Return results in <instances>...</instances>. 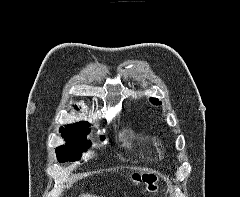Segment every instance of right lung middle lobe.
I'll return each mask as SVG.
<instances>
[{
  "instance_id": "obj_1",
  "label": "right lung middle lobe",
  "mask_w": 240,
  "mask_h": 197,
  "mask_svg": "<svg viewBox=\"0 0 240 197\" xmlns=\"http://www.w3.org/2000/svg\"><path fill=\"white\" fill-rule=\"evenodd\" d=\"M60 132L67 141L66 145L56 148L57 159L59 162H74L80 158L82 152H85L91 145V141H87L86 135L90 132V128H61ZM104 140L105 137L101 136Z\"/></svg>"
}]
</instances>
